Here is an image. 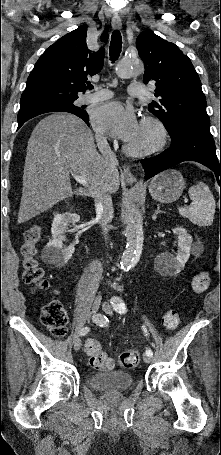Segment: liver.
Returning a JSON list of instances; mask_svg holds the SVG:
<instances>
[{
  "instance_id": "liver-1",
  "label": "liver",
  "mask_w": 221,
  "mask_h": 455,
  "mask_svg": "<svg viewBox=\"0 0 221 455\" xmlns=\"http://www.w3.org/2000/svg\"><path fill=\"white\" fill-rule=\"evenodd\" d=\"M70 173L84 177L88 190L73 192ZM119 186L117 168L111 169L97 152L87 125L73 114H51L35 126L28 141L18 223L73 194L116 193Z\"/></svg>"
}]
</instances>
